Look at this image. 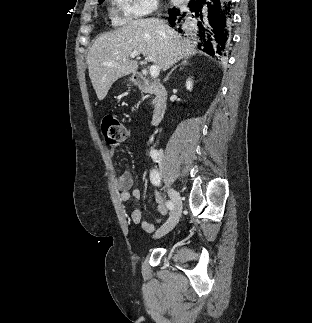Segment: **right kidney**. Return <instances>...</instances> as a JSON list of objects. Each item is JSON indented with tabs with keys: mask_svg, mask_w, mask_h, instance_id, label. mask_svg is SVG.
<instances>
[{
	"mask_svg": "<svg viewBox=\"0 0 312 323\" xmlns=\"http://www.w3.org/2000/svg\"><path fill=\"white\" fill-rule=\"evenodd\" d=\"M192 86H193V84H192L191 80H187V82H186L187 90H192Z\"/></svg>",
	"mask_w": 312,
	"mask_h": 323,
	"instance_id": "right-kidney-1",
	"label": "right kidney"
}]
</instances>
